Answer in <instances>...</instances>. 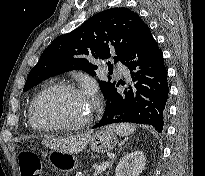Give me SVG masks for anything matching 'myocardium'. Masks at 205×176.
<instances>
[{
	"label": "myocardium",
	"instance_id": "obj_1",
	"mask_svg": "<svg viewBox=\"0 0 205 176\" xmlns=\"http://www.w3.org/2000/svg\"><path fill=\"white\" fill-rule=\"evenodd\" d=\"M56 90L72 91L74 93L83 95L81 89L72 82H58V83H54L46 87L45 89H43L41 92L37 94L30 108V118L34 126L37 129L44 130V131H49V130L77 131V130H81L85 128L86 126H88L92 121L93 112H94V108L91 105H90V110L87 116L85 117V119L76 124H60V123L44 124L38 119L37 110H38V105L40 101L47 94L53 91H56Z\"/></svg>",
	"mask_w": 205,
	"mask_h": 176
}]
</instances>
